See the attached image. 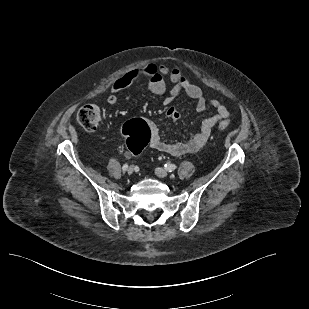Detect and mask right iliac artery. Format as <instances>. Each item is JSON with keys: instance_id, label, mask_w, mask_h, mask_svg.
I'll list each match as a JSON object with an SVG mask.
<instances>
[{"instance_id": "1", "label": "right iliac artery", "mask_w": 309, "mask_h": 309, "mask_svg": "<svg viewBox=\"0 0 309 309\" xmlns=\"http://www.w3.org/2000/svg\"><path fill=\"white\" fill-rule=\"evenodd\" d=\"M127 169H128V164H124L123 167H122V170L126 171Z\"/></svg>"}]
</instances>
